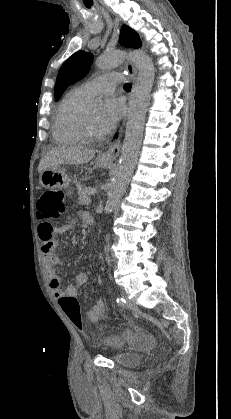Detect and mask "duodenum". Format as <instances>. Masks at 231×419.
Segmentation results:
<instances>
[{
	"label": "duodenum",
	"mask_w": 231,
	"mask_h": 419,
	"mask_svg": "<svg viewBox=\"0 0 231 419\" xmlns=\"http://www.w3.org/2000/svg\"><path fill=\"white\" fill-rule=\"evenodd\" d=\"M87 223H88V224H92V223H93V219H92L91 217H89V218L87 219Z\"/></svg>",
	"instance_id": "obj_1"
}]
</instances>
